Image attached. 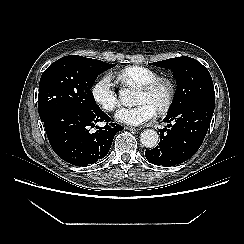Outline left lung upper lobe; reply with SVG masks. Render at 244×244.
<instances>
[{
  "mask_svg": "<svg viewBox=\"0 0 244 244\" xmlns=\"http://www.w3.org/2000/svg\"><path fill=\"white\" fill-rule=\"evenodd\" d=\"M152 65L171 69L177 78L178 88L169 111L196 99H214L215 92L209 71L197 60L183 56L171 58Z\"/></svg>",
  "mask_w": 244,
  "mask_h": 244,
  "instance_id": "1",
  "label": "left lung upper lobe"
}]
</instances>
